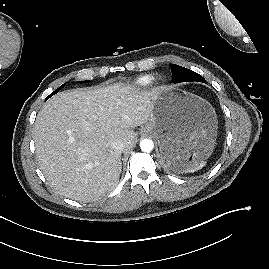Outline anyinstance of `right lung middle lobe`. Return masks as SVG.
<instances>
[{"label": "right lung middle lobe", "instance_id": "obj_1", "mask_svg": "<svg viewBox=\"0 0 269 269\" xmlns=\"http://www.w3.org/2000/svg\"><path fill=\"white\" fill-rule=\"evenodd\" d=\"M84 82H85V81H84ZM64 86H65V84L61 85L57 90H55L54 92H52V93L47 97V99L50 98L52 95L58 93L59 90L62 89Z\"/></svg>", "mask_w": 269, "mask_h": 269}]
</instances>
